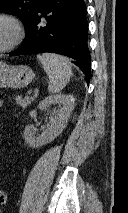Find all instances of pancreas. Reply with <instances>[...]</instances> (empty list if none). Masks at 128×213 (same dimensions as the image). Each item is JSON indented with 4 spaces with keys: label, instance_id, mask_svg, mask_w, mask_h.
<instances>
[{
    "label": "pancreas",
    "instance_id": "cf45deb5",
    "mask_svg": "<svg viewBox=\"0 0 128 213\" xmlns=\"http://www.w3.org/2000/svg\"><path fill=\"white\" fill-rule=\"evenodd\" d=\"M15 101L22 108H26L27 106H29L32 103L33 98H29V97L23 98L22 96L18 95L15 97Z\"/></svg>",
    "mask_w": 128,
    "mask_h": 213
}]
</instances>
